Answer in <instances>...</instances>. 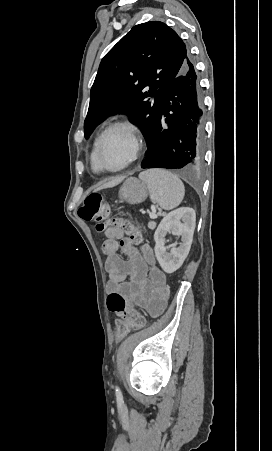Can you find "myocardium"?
Listing matches in <instances>:
<instances>
[{"label":"myocardium","instance_id":"1","mask_svg":"<svg viewBox=\"0 0 272 451\" xmlns=\"http://www.w3.org/2000/svg\"><path fill=\"white\" fill-rule=\"evenodd\" d=\"M112 131H121L125 135V137L128 141L129 150H130L129 158H128L127 162L125 163V165L123 167H121L120 169L114 170V171L107 170L104 167H102L101 165H99V163H98V158H99V154H100V150L103 145V142H104L105 138L107 137V135L109 133H111ZM138 149H139V139H138L137 131L133 126H131L127 123L111 124L102 132V134L99 136V138L96 142V145H95L94 161H95L96 171H98V172L110 171L113 173H119V172L124 171L136 159Z\"/></svg>","mask_w":272,"mask_h":451}]
</instances>
